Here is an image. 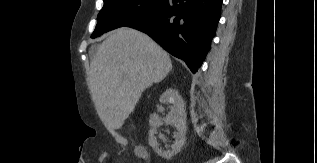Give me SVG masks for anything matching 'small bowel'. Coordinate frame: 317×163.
Here are the masks:
<instances>
[{
  "label": "small bowel",
  "instance_id": "obj_1",
  "mask_svg": "<svg viewBox=\"0 0 317 163\" xmlns=\"http://www.w3.org/2000/svg\"><path fill=\"white\" fill-rule=\"evenodd\" d=\"M139 155H140V156H144V155H145L144 151L140 149V150H139Z\"/></svg>",
  "mask_w": 317,
  "mask_h": 163
}]
</instances>
